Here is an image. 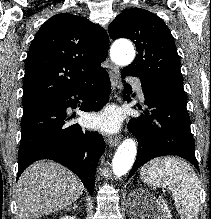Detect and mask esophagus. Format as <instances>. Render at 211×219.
Listing matches in <instances>:
<instances>
[{
    "mask_svg": "<svg viewBox=\"0 0 211 219\" xmlns=\"http://www.w3.org/2000/svg\"><path fill=\"white\" fill-rule=\"evenodd\" d=\"M109 75H110V78H111L113 91L115 92L116 83L119 80V69H118V67H116L112 63L110 64ZM119 142H120V137L119 136L109 137L106 141L107 145L110 148L117 146L119 144Z\"/></svg>",
    "mask_w": 211,
    "mask_h": 219,
    "instance_id": "obj_1",
    "label": "esophagus"
}]
</instances>
